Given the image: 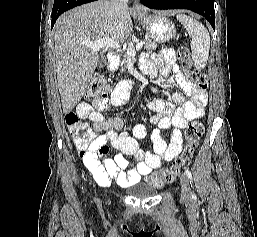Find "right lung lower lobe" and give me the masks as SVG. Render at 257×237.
I'll list each match as a JSON object with an SVG mask.
<instances>
[{"instance_id": "right-lung-lower-lobe-1", "label": "right lung lower lobe", "mask_w": 257, "mask_h": 237, "mask_svg": "<svg viewBox=\"0 0 257 237\" xmlns=\"http://www.w3.org/2000/svg\"><path fill=\"white\" fill-rule=\"evenodd\" d=\"M92 1L96 0H54V5L52 9V22H51V27L54 26L57 18L65 11L84 4V3H89Z\"/></svg>"}]
</instances>
